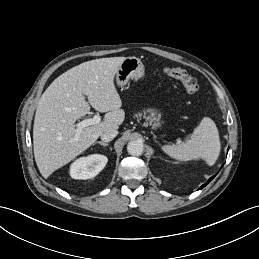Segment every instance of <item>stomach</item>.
I'll return each instance as SVG.
<instances>
[{"mask_svg":"<svg viewBox=\"0 0 259 259\" xmlns=\"http://www.w3.org/2000/svg\"><path fill=\"white\" fill-rule=\"evenodd\" d=\"M144 75V65L139 58L127 57L121 63L117 73L116 82L120 87H124L130 79H139ZM151 122L154 123V127L159 126V116L156 117V113L150 110Z\"/></svg>","mask_w":259,"mask_h":259,"instance_id":"stomach-1","label":"stomach"}]
</instances>
